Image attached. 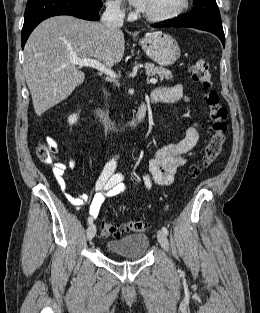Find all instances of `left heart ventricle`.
I'll return each instance as SVG.
<instances>
[{
	"label": "left heart ventricle",
	"mask_w": 260,
	"mask_h": 313,
	"mask_svg": "<svg viewBox=\"0 0 260 313\" xmlns=\"http://www.w3.org/2000/svg\"><path fill=\"white\" fill-rule=\"evenodd\" d=\"M181 0H146L143 12L150 15H163L175 10Z\"/></svg>",
	"instance_id": "obj_1"
}]
</instances>
